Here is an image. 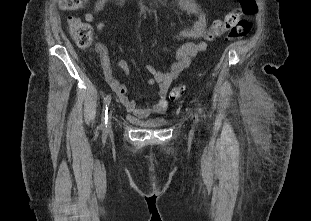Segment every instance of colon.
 Returning a JSON list of instances; mask_svg holds the SVG:
<instances>
[{"label": "colon", "instance_id": "obj_1", "mask_svg": "<svg viewBox=\"0 0 311 221\" xmlns=\"http://www.w3.org/2000/svg\"><path fill=\"white\" fill-rule=\"evenodd\" d=\"M89 0H65L58 1V8H66L67 12H77L78 4H88ZM243 13H237L236 11L229 12L222 21H216L211 25V33L213 36H220L221 31L228 28V24H232L235 18H240L243 14L248 17H256V11L258 10L257 0H240ZM250 29V22L240 21L237 26H234L232 32L229 33L232 38L244 37ZM68 31L75 41V43L82 49L89 48L93 41V29L90 23L83 21L77 17H73L68 21ZM185 88L183 86H177L170 90L168 97L171 101L177 100L183 93Z\"/></svg>", "mask_w": 311, "mask_h": 221}]
</instances>
